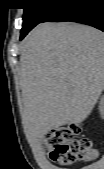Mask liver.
I'll use <instances>...</instances> for the list:
<instances>
[{
  "label": "liver",
  "mask_w": 104,
  "mask_h": 169,
  "mask_svg": "<svg viewBox=\"0 0 104 169\" xmlns=\"http://www.w3.org/2000/svg\"><path fill=\"white\" fill-rule=\"evenodd\" d=\"M26 128L37 140L84 121L104 88V34L77 23H42L22 41Z\"/></svg>",
  "instance_id": "liver-1"
}]
</instances>
